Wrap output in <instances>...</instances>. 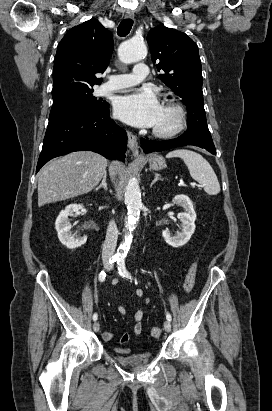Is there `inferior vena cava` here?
Here are the masks:
<instances>
[{
  "label": "inferior vena cava",
  "mask_w": 272,
  "mask_h": 411,
  "mask_svg": "<svg viewBox=\"0 0 272 411\" xmlns=\"http://www.w3.org/2000/svg\"><path fill=\"white\" fill-rule=\"evenodd\" d=\"M118 238V229L116 223L112 220L109 222L105 241L102 249L103 261H108L114 255Z\"/></svg>",
  "instance_id": "602c4592"
}]
</instances>
